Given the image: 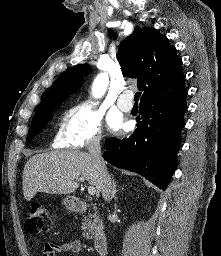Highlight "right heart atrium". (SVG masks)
Instances as JSON below:
<instances>
[{
  "instance_id": "right-heart-atrium-1",
  "label": "right heart atrium",
  "mask_w": 221,
  "mask_h": 256,
  "mask_svg": "<svg viewBox=\"0 0 221 256\" xmlns=\"http://www.w3.org/2000/svg\"><path fill=\"white\" fill-rule=\"evenodd\" d=\"M102 114L88 101L71 106L59 127L56 143L64 147L83 148L102 139Z\"/></svg>"
}]
</instances>
